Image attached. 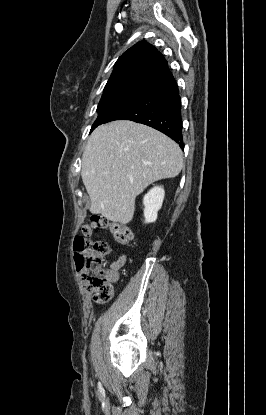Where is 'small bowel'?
Masks as SVG:
<instances>
[{"instance_id":"1","label":"small bowel","mask_w":266,"mask_h":415,"mask_svg":"<svg viewBox=\"0 0 266 415\" xmlns=\"http://www.w3.org/2000/svg\"><path fill=\"white\" fill-rule=\"evenodd\" d=\"M125 262L126 256L124 254L120 255L118 259L110 262L108 272L112 276V282H115L118 279L119 270Z\"/></svg>"}]
</instances>
